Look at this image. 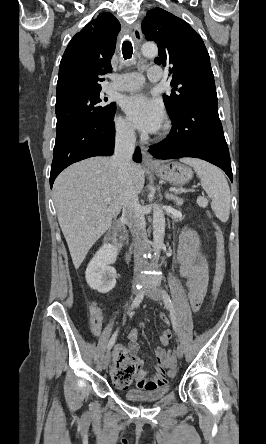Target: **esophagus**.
<instances>
[{
  "instance_id": "obj_1",
  "label": "esophagus",
  "mask_w": 266,
  "mask_h": 444,
  "mask_svg": "<svg viewBox=\"0 0 266 444\" xmlns=\"http://www.w3.org/2000/svg\"><path fill=\"white\" fill-rule=\"evenodd\" d=\"M132 37L133 39L139 43L142 40V32L139 24H135L132 27ZM143 154V164L146 167H157L158 163L154 160L152 155L147 151L146 147H142Z\"/></svg>"
}]
</instances>
